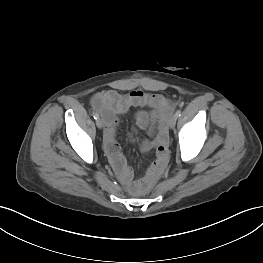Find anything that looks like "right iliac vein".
Wrapping results in <instances>:
<instances>
[{"label":"right iliac vein","instance_id":"obj_1","mask_svg":"<svg viewBox=\"0 0 263 263\" xmlns=\"http://www.w3.org/2000/svg\"><path fill=\"white\" fill-rule=\"evenodd\" d=\"M96 125L99 129H101L103 127V121L101 119H97L96 120Z\"/></svg>","mask_w":263,"mask_h":263}]
</instances>
